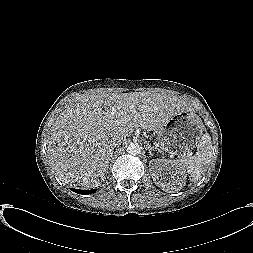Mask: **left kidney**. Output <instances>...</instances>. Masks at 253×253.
I'll use <instances>...</instances> for the list:
<instances>
[{
  "instance_id": "5707ae66",
  "label": "left kidney",
  "mask_w": 253,
  "mask_h": 253,
  "mask_svg": "<svg viewBox=\"0 0 253 253\" xmlns=\"http://www.w3.org/2000/svg\"><path fill=\"white\" fill-rule=\"evenodd\" d=\"M153 162L152 178L155 182L157 181V185L166 191H180L186 183L185 170L169 160L157 159ZM163 171H166L168 176L164 177Z\"/></svg>"
}]
</instances>
